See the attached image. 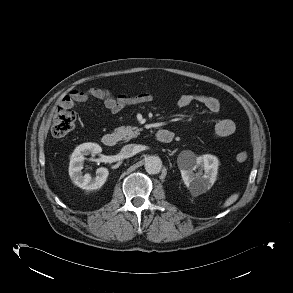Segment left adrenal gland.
I'll return each instance as SVG.
<instances>
[{
    "label": "left adrenal gland",
    "instance_id": "obj_1",
    "mask_svg": "<svg viewBox=\"0 0 293 293\" xmlns=\"http://www.w3.org/2000/svg\"><path fill=\"white\" fill-rule=\"evenodd\" d=\"M175 152H176V150L172 151V152L170 153V155H173Z\"/></svg>",
    "mask_w": 293,
    "mask_h": 293
}]
</instances>
